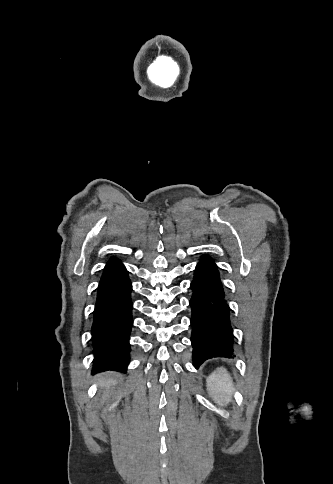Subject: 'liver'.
I'll return each instance as SVG.
<instances>
[{
	"label": "liver",
	"mask_w": 333,
	"mask_h": 484,
	"mask_svg": "<svg viewBox=\"0 0 333 484\" xmlns=\"http://www.w3.org/2000/svg\"><path fill=\"white\" fill-rule=\"evenodd\" d=\"M111 374H106V377H103L100 381V387L103 389L105 388V394L109 393L111 386H114L117 381L114 377H110Z\"/></svg>",
	"instance_id": "1"
}]
</instances>
